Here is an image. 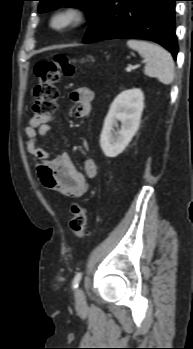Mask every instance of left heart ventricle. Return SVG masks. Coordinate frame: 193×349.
I'll return each instance as SVG.
<instances>
[{
	"label": "left heart ventricle",
	"instance_id": "1",
	"mask_svg": "<svg viewBox=\"0 0 193 349\" xmlns=\"http://www.w3.org/2000/svg\"><path fill=\"white\" fill-rule=\"evenodd\" d=\"M61 22H62V20H61V21H60V20L58 21V23H61Z\"/></svg>",
	"mask_w": 193,
	"mask_h": 349
}]
</instances>
